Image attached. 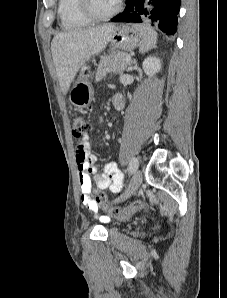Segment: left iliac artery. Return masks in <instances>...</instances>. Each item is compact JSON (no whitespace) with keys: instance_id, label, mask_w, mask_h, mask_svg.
<instances>
[{"instance_id":"obj_1","label":"left iliac artery","mask_w":227,"mask_h":298,"mask_svg":"<svg viewBox=\"0 0 227 298\" xmlns=\"http://www.w3.org/2000/svg\"><path fill=\"white\" fill-rule=\"evenodd\" d=\"M138 168V160L137 158H132V160L130 161L129 164V172L132 173L134 171H136V169Z\"/></svg>"}]
</instances>
